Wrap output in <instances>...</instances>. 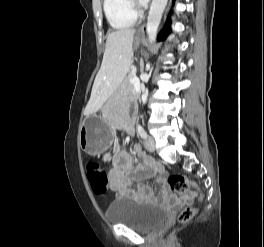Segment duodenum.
Returning a JSON list of instances; mask_svg holds the SVG:
<instances>
[{
	"instance_id": "410a0bca",
	"label": "duodenum",
	"mask_w": 264,
	"mask_h": 247,
	"mask_svg": "<svg viewBox=\"0 0 264 247\" xmlns=\"http://www.w3.org/2000/svg\"><path fill=\"white\" fill-rule=\"evenodd\" d=\"M128 120H129V122H132L133 116L131 114L128 116Z\"/></svg>"
}]
</instances>
